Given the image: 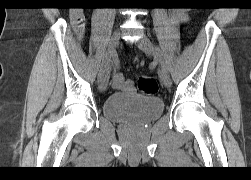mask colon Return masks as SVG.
Instances as JSON below:
<instances>
[{"mask_svg":"<svg viewBox=\"0 0 251 180\" xmlns=\"http://www.w3.org/2000/svg\"><path fill=\"white\" fill-rule=\"evenodd\" d=\"M137 89L145 95H154L158 91L157 81L149 76H142L137 81Z\"/></svg>","mask_w":251,"mask_h":180,"instance_id":"5ec220e1","label":"colon"}]
</instances>
